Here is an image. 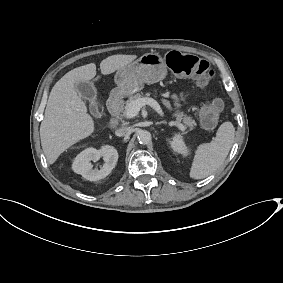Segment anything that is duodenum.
I'll list each match as a JSON object with an SVG mask.
<instances>
[{
    "label": "duodenum",
    "instance_id": "duodenum-1",
    "mask_svg": "<svg viewBox=\"0 0 283 283\" xmlns=\"http://www.w3.org/2000/svg\"><path fill=\"white\" fill-rule=\"evenodd\" d=\"M123 107L122 98L120 95L116 94L108 102V109L113 114V119L111 122V127L116 128L118 126V116L121 113Z\"/></svg>",
    "mask_w": 283,
    "mask_h": 283
}]
</instances>
